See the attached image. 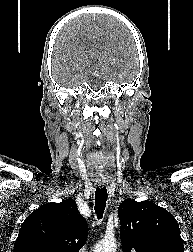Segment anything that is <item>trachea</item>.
I'll return each mask as SVG.
<instances>
[{
	"instance_id": "obj_1",
	"label": "trachea",
	"mask_w": 193,
	"mask_h": 252,
	"mask_svg": "<svg viewBox=\"0 0 193 252\" xmlns=\"http://www.w3.org/2000/svg\"><path fill=\"white\" fill-rule=\"evenodd\" d=\"M107 197H108V194H107V189L105 186L96 189L94 210L98 219H101L103 217V213L106 207Z\"/></svg>"
}]
</instances>
